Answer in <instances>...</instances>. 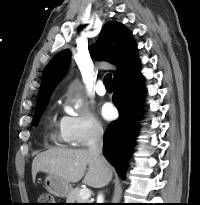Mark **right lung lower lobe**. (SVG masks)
I'll return each mask as SVG.
<instances>
[{
  "label": "right lung lower lobe",
  "mask_w": 200,
  "mask_h": 205,
  "mask_svg": "<svg viewBox=\"0 0 200 205\" xmlns=\"http://www.w3.org/2000/svg\"><path fill=\"white\" fill-rule=\"evenodd\" d=\"M113 82V102L120 116L105 132L103 152L119 176L124 178L139 128L140 104L143 99V78L139 62Z\"/></svg>",
  "instance_id": "right-lung-lower-lobe-1"
}]
</instances>
